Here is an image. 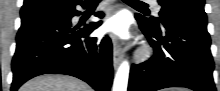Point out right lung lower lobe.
<instances>
[{
	"label": "right lung lower lobe",
	"instance_id": "1",
	"mask_svg": "<svg viewBox=\"0 0 220 91\" xmlns=\"http://www.w3.org/2000/svg\"><path fill=\"white\" fill-rule=\"evenodd\" d=\"M87 1L69 0L55 9L21 16L17 47L12 61L16 91L27 80L42 74H66L80 78L96 91H109L113 79L112 45L108 36L89 37L101 25L93 22L73 27L71 18ZM103 17V13H96Z\"/></svg>",
	"mask_w": 220,
	"mask_h": 91
}]
</instances>
